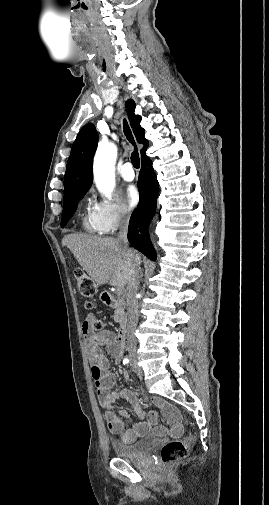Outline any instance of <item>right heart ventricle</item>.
<instances>
[{
  "label": "right heart ventricle",
  "instance_id": "1",
  "mask_svg": "<svg viewBox=\"0 0 269 505\" xmlns=\"http://www.w3.org/2000/svg\"><path fill=\"white\" fill-rule=\"evenodd\" d=\"M82 227L89 233H101L97 220L95 206L86 203L81 218Z\"/></svg>",
  "mask_w": 269,
  "mask_h": 505
}]
</instances>
